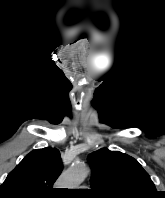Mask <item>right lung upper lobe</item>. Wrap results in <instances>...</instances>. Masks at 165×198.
Wrapping results in <instances>:
<instances>
[{
    "label": "right lung upper lobe",
    "instance_id": "1",
    "mask_svg": "<svg viewBox=\"0 0 165 198\" xmlns=\"http://www.w3.org/2000/svg\"><path fill=\"white\" fill-rule=\"evenodd\" d=\"M60 152L46 147L30 152L9 173L0 187L2 196L45 198L53 194V184L62 171Z\"/></svg>",
    "mask_w": 165,
    "mask_h": 198
}]
</instances>
